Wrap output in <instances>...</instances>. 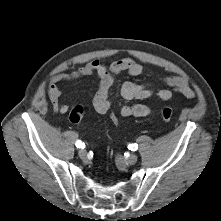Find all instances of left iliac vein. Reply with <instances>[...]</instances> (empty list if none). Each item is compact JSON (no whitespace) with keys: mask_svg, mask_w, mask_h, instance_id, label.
Returning a JSON list of instances; mask_svg holds the SVG:
<instances>
[{"mask_svg":"<svg viewBox=\"0 0 221 221\" xmlns=\"http://www.w3.org/2000/svg\"><path fill=\"white\" fill-rule=\"evenodd\" d=\"M138 157L136 154H131L125 161L126 164L133 165L137 162Z\"/></svg>","mask_w":221,"mask_h":221,"instance_id":"obj_1","label":"left iliac vein"}]
</instances>
